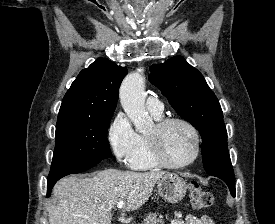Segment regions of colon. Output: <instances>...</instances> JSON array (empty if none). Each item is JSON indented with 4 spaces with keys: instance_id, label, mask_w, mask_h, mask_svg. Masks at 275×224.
I'll list each match as a JSON object with an SVG mask.
<instances>
[{
    "instance_id": "colon-1",
    "label": "colon",
    "mask_w": 275,
    "mask_h": 224,
    "mask_svg": "<svg viewBox=\"0 0 275 224\" xmlns=\"http://www.w3.org/2000/svg\"><path fill=\"white\" fill-rule=\"evenodd\" d=\"M189 196L192 207L197 210L210 207L214 200L213 195L197 182L190 183Z\"/></svg>"
}]
</instances>
